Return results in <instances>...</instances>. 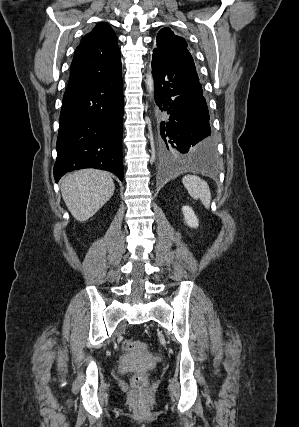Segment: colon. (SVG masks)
I'll return each instance as SVG.
<instances>
[{
    "label": "colon",
    "instance_id": "1",
    "mask_svg": "<svg viewBox=\"0 0 299 427\" xmlns=\"http://www.w3.org/2000/svg\"><path fill=\"white\" fill-rule=\"evenodd\" d=\"M122 347L125 352L131 353L139 350H144L146 348V345L137 340H126L123 342ZM132 385L134 389L138 392L145 391L148 386L147 373L145 371L137 372L132 379Z\"/></svg>",
    "mask_w": 299,
    "mask_h": 427
}]
</instances>
